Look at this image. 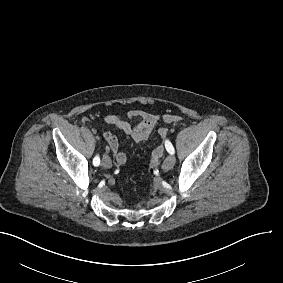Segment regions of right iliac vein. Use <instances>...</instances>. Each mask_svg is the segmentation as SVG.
Masks as SVG:
<instances>
[{
  "label": "right iliac vein",
  "instance_id": "63e3f726",
  "mask_svg": "<svg viewBox=\"0 0 283 283\" xmlns=\"http://www.w3.org/2000/svg\"><path fill=\"white\" fill-rule=\"evenodd\" d=\"M101 165H102V167H103L104 169H110V168H111L112 163H111L110 158H109L107 155H104V156H103Z\"/></svg>",
  "mask_w": 283,
  "mask_h": 283
}]
</instances>
